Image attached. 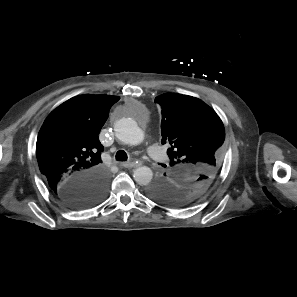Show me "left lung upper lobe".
I'll use <instances>...</instances> for the list:
<instances>
[{
  "label": "left lung upper lobe",
  "instance_id": "5c2ea615",
  "mask_svg": "<svg viewBox=\"0 0 297 297\" xmlns=\"http://www.w3.org/2000/svg\"><path fill=\"white\" fill-rule=\"evenodd\" d=\"M155 101L162 109V144L169 146L170 163L168 174L152 183L147 193L162 203L183 207L203 195L219 174L224 126L216 112L195 97L166 93Z\"/></svg>",
  "mask_w": 297,
  "mask_h": 297
}]
</instances>
